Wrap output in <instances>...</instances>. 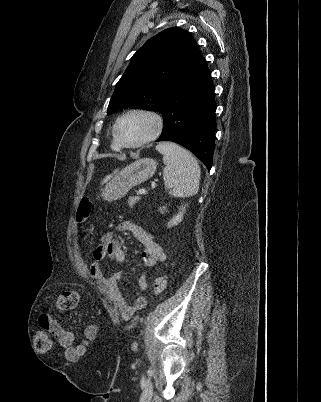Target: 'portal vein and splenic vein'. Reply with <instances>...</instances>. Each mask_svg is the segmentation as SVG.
<instances>
[{"label": "portal vein and splenic vein", "instance_id": "obj_1", "mask_svg": "<svg viewBox=\"0 0 321 402\" xmlns=\"http://www.w3.org/2000/svg\"><path fill=\"white\" fill-rule=\"evenodd\" d=\"M146 193V190L145 189H139V191L137 192V194L138 195H143V194H145Z\"/></svg>", "mask_w": 321, "mask_h": 402}]
</instances>
